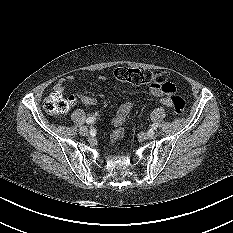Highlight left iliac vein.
Returning <instances> with one entry per match:
<instances>
[{
    "mask_svg": "<svg viewBox=\"0 0 233 233\" xmlns=\"http://www.w3.org/2000/svg\"><path fill=\"white\" fill-rule=\"evenodd\" d=\"M141 137L144 138V139H146V138L153 139V138L156 137V133H155V131L150 130L148 133L141 134Z\"/></svg>",
    "mask_w": 233,
    "mask_h": 233,
    "instance_id": "obj_1",
    "label": "left iliac vein"
}]
</instances>
